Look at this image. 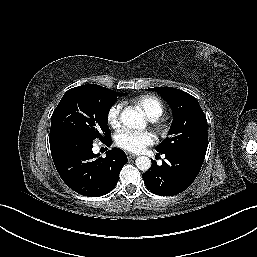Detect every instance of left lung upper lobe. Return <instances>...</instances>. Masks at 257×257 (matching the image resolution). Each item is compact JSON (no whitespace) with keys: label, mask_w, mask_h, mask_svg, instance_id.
<instances>
[{"label":"left lung upper lobe","mask_w":257,"mask_h":257,"mask_svg":"<svg viewBox=\"0 0 257 257\" xmlns=\"http://www.w3.org/2000/svg\"><path fill=\"white\" fill-rule=\"evenodd\" d=\"M148 90L158 92L173 113L169 137L156 150L160 153L180 151L205 156L208 145L207 120L196 98L172 87Z\"/></svg>","instance_id":"5c2ea615"}]
</instances>
